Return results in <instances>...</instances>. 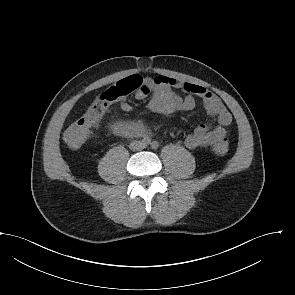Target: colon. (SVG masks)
<instances>
[{"instance_id": "1", "label": "colon", "mask_w": 295, "mask_h": 295, "mask_svg": "<svg viewBox=\"0 0 295 295\" xmlns=\"http://www.w3.org/2000/svg\"><path fill=\"white\" fill-rule=\"evenodd\" d=\"M143 85V78L132 75L111 85L97 94L85 113L69 125L63 134V140L70 148L81 147L91 136L99 123L100 116L109 106L121 100L134 91H138ZM213 151L218 155H224L228 151V143L221 142L213 146Z\"/></svg>"}]
</instances>
